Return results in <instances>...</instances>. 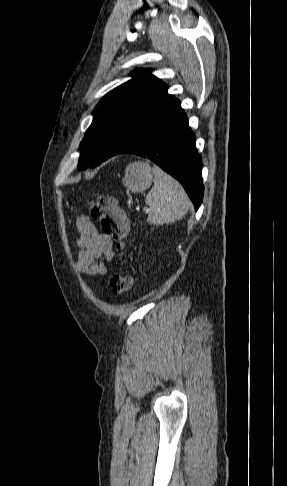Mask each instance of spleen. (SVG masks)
Returning a JSON list of instances; mask_svg holds the SVG:
<instances>
[{"label": "spleen", "instance_id": "3e777b00", "mask_svg": "<svg viewBox=\"0 0 287 486\" xmlns=\"http://www.w3.org/2000/svg\"><path fill=\"white\" fill-rule=\"evenodd\" d=\"M154 186L147 194V221L153 225L171 224L181 219L190 207L181 184L158 167L153 168Z\"/></svg>", "mask_w": 287, "mask_h": 486}]
</instances>
